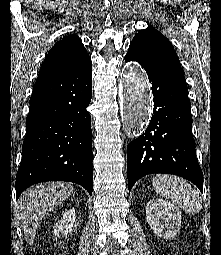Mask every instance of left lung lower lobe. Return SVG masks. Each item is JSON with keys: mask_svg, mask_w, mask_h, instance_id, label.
<instances>
[{"mask_svg": "<svg viewBox=\"0 0 221 255\" xmlns=\"http://www.w3.org/2000/svg\"><path fill=\"white\" fill-rule=\"evenodd\" d=\"M125 61H137L146 70L154 96L153 115L145 133L127 147L129 191L145 175L166 173L188 179L203 192L187 86L132 51Z\"/></svg>", "mask_w": 221, "mask_h": 255, "instance_id": "0a47b994", "label": "left lung lower lobe"}]
</instances>
